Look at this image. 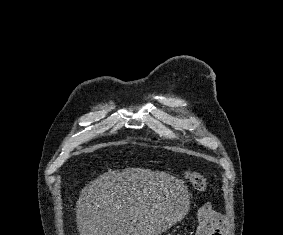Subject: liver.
<instances>
[{
    "label": "liver",
    "mask_w": 283,
    "mask_h": 235,
    "mask_svg": "<svg viewBox=\"0 0 283 235\" xmlns=\"http://www.w3.org/2000/svg\"><path fill=\"white\" fill-rule=\"evenodd\" d=\"M184 182L144 168L111 170L82 189L76 204L80 235H158L180 220Z\"/></svg>",
    "instance_id": "6515ba94"
}]
</instances>
